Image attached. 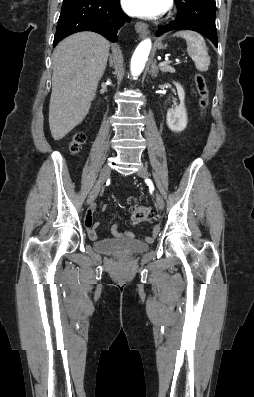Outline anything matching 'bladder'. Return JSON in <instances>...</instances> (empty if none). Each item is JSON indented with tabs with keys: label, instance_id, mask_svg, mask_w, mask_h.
Wrapping results in <instances>:
<instances>
[{
	"label": "bladder",
	"instance_id": "1",
	"mask_svg": "<svg viewBox=\"0 0 254 397\" xmlns=\"http://www.w3.org/2000/svg\"><path fill=\"white\" fill-rule=\"evenodd\" d=\"M93 246L99 252L116 256H130L144 252L148 248L146 243L136 239L97 241Z\"/></svg>",
	"mask_w": 254,
	"mask_h": 397
}]
</instances>
